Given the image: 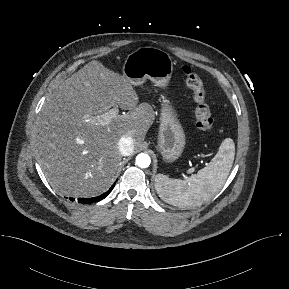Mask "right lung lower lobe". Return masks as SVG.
Listing matches in <instances>:
<instances>
[{
    "label": "right lung lower lobe",
    "instance_id": "obj_1",
    "mask_svg": "<svg viewBox=\"0 0 289 289\" xmlns=\"http://www.w3.org/2000/svg\"><path fill=\"white\" fill-rule=\"evenodd\" d=\"M115 183L110 187V189L101 194L100 196H97V197H94V198H79L78 199V202L79 203H83V204H90V203H93V202H97V201H100L102 199H104L105 197H107L109 195V193L112 191L113 187H114ZM70 200H74L73 198H70Z\"/></svg>",
    "mask_w": 289,
    "mask_h": 289
}]
</instances>
